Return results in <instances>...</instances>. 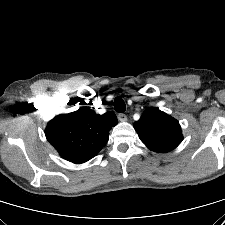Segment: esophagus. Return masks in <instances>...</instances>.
<instances>
[{"mask_svg":"<svg viewBox=\"0 0 225 225\" xmlns=\"http://www.w3.org/2000/svg\"><path fill=\"white\" fill-rule=\"evenodd\" d=\"M118 119L121 122H126L127 121V116L125 114H123V113H119L118 114Z\"/></svg>","mask_w":225,"mask_h":225,"instance_id":"obj_1","label":"esophagus"}]
</instances>
